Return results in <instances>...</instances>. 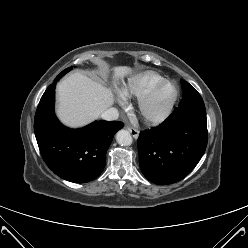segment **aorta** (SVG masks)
Wrapping results in <instances>:
<instances>
[{
  "instance_id": "762f6f07",
  "label": "aorta",
  "mask_w": 248,
  "mask_h": 248,
  "mask_svg": "<svg viewBox=\"0 0 248 248\" xmlns=\"http://www.w3.org/2000/svg\"><path fill=\"white\" fill-rule=\"evenodd\" d=\"M116 141L121 146H130L133 142V139L127 130H120L116 134Z\"/></svg>"
}]
</instances>
